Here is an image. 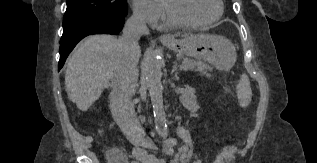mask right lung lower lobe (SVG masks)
Returning a JSON list of instances; mask_svg holds the SVG:
<instances>
[{"label":"right lung lower lobe","mask_w":317,"mask_h":163,"mask_svg":"<svg viewBox=\"0 0 317 163\" xmlns=\"http://www.w3.org/2000/svg\"><path fill=\"white\" fill-rule=\"evenodd\" d=\"M124 20L125 16L104 15L63 29L58 70L63 67L67 56L81 39L91 34H118L122 30Z\"/></svg>","instance_id":"1"}]
</instances>
